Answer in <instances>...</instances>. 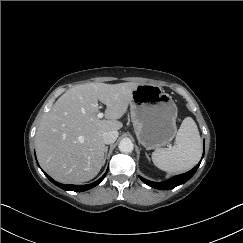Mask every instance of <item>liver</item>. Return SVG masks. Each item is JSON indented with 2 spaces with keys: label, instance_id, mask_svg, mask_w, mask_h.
Instances as JSON below:
<instances>
[{
  "label": "liver",
  "instance_id": "obj_1",
  "mask_svg": "<svg viewBox=\"0 0 243 243\" xmlns=\"http://www.w3.org/2000/svg\"><path fill=\"white\" fill-rule=\"evenodd\" d=\"M138 83H87L66 91L43 115L35 135L41 167L61 183L93 179L105 163L103 133L117 131ZM106 105L105 118L97 117Z\"/></svg>",
  "mask_w": 243,
  "mask_h": 243
}]
</instances>
